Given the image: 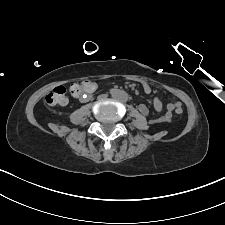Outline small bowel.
I'll return each instance as SVG.
<instances>
[{
  "instance_id": "1",
  "label": "small bowel",
  "mask_w": 225,
  "mask_h": 225,
  "mask_svg": "<svg viewBox=\"0 0 225 225\" xmlns=\"http://www.w3.org/2000/svg\"><path fill=\"white\" fill-rule=\"evenodd\" d=\"M141 86H142L143 90L145 91V93L151 92V87H150L149 83L142 82ZM95 90H96V84L94 83V89L92 91L88 92L87 94H91ZM86 96L87 95L84 94L82 96L79 95V96H75V97L79 98L80 101H83L86 98ZM179 105H180V102L175 97H172V100L169 103H167L166 108L164 110L162 101L158 97L154 98V100H153L154 109L157 112H163V113L156 119L151 120V122L152 123L169 122L172 119L173 111ZM139 111L145 116L149 115V109L146 105H143V104L140 105Z\"/></svg>"
}]
</instances>
